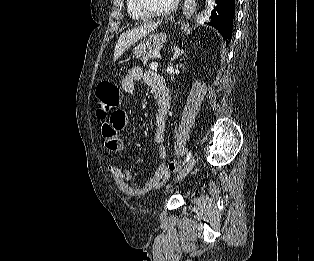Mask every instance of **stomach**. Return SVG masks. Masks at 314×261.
<instances>
[{
    "mask_svg": "<svg viewBox=\"0 0 314 261\" xmlns=\"http://www.w3.org/2000/svg\"><path fill=\"white\" fill-rule=\"evenodd\" d=\"M166 39L165 34H151L148 38L143 39L134 49V57H140L154 49H160Z\"/></svg>",
    "mask_w": 314,
    "mask_h": 261,
    "instance_id": "stomach-1",
    "label": "stomach"
}]
</instances>
